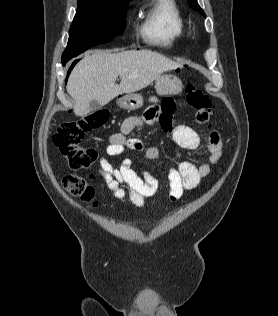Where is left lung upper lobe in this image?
I'll return each mask as SVG.
<instances>
[{"instance_id": "1", "label": "left lung upper lobe", "mask_w": 278, "mask_h": 316, "mask_svg": "<svg viewBox=\"0 0 278 316\" xmlns=\"http://www.w3.org/2000/svg\"><path fill=\"white\" fill-rule=\"evenodd\" d=\"M190 5L197 11H199L204 17H206L205 13L203 10L200 8V6L197 3V0H188Z\"/></svg>"}]
</instances>
